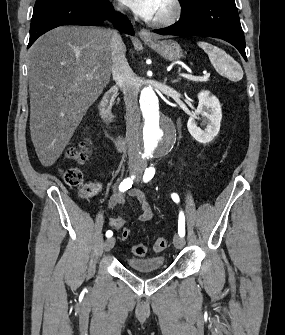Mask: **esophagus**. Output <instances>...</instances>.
Returning <instances> with one entry per match:
<instances>
[{
    "label": "esophagus",
    "instance_id": "34e87169",
    "mask_svg": "<svg viewBox=\"0 0 285 335\" xmlns=\"http://www.w3.org/2000/svg\"><path fill=\"white\" fill-rule=\"evenodd\" d=\"M139 37L144 39V40H152V38H153L150 30H147L146 28H142L139 31Z\"/></svg>",
    "mask_w": 285,
    "mask_h": 335
}]
</instances>
